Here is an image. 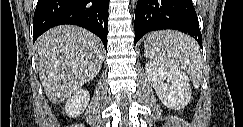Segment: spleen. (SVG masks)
I'll return each mask as SVG.
<instances>
[{
  "mask_svg": "<svg viewBox=\"0 0 243 127\" xmlns=\"http://www.w3.org/2000/svg\"><path fill=\"white\" fill-rule=\"evenodd\" d=\"M145 55L154 63L185 70L194 86L202 80V58L199 47L190 36L176 31L154 32L147 36Z\"/></svg>",
  "mask_w": 243,
  "mask_h": 127,
  "instance_id": "spleen-1",
  "label": "spleen"
}]
</instances>
